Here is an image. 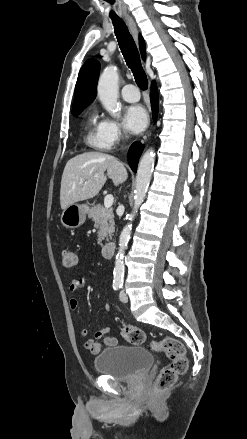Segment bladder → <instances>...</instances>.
Returning a JSON list of instances; mask_svg holds the SVG:
<instances>
[{"instance_id": "obj_1", "label": "bladder", "mask_w": 247, "mask_h": 439, "mask_svg": "<svg viewBox=\"0 0 247 439\" xmlns=\"http://www.w3.org/2000/svg\"><path fill=\"white\" fill-rule=\"evenodd\" d=\"M153 364L152 354L143 347L116 345L101 351L94 359L95 370L119 381H133Z\"/></svg>"}]
</instances>
